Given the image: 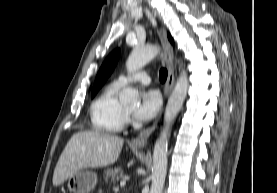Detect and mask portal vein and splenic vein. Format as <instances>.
Masks as SVG:
<instances>
[{"label":"portal vein and splenic vein","instance_id":"18ae733b","mask_svg":"<svg viewBox=\"0 0 277 193\" xmlns=\"http://www.w3.org/2000/svg\"><path fill=\"white\" fill-rule=\"evenodd\" d=\"M125 184H126V180H122L121 182H120V186H125Z\"/></svg>","mask_w":277,"mask_h":193}]
</instances>
